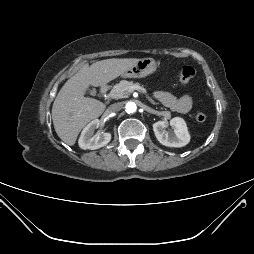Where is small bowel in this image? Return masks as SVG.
I'll use <instances>...</instances> for the list:
<instances>
[{
    "mask_svg": "<svg viewBox=\"0 0 254 254\" xmlns=\"http://www.w3.org/2000/svg\"><path fill=\"white\" fill-rule=\"evenodd\" d=\"M154 97L166 107L180 113L188 112L193 103L191 96L187 94L181 97H176L166 91H156Z\"/></svg>",
    "mask_w": 254,
    "mask_h": 254,
    "instance_id": "c3829d8e",
    "label": "small bowel"
}]
</instances>
